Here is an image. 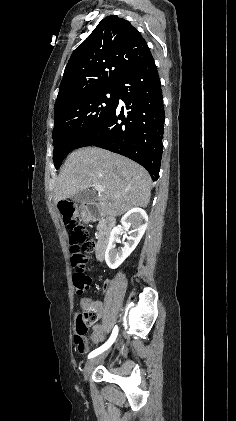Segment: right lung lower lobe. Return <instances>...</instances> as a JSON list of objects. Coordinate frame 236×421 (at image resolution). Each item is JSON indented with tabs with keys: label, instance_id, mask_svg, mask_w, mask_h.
Instances as JSON below:
<instances>
[{
	"label": "right lung lower lobe",
	"instance_id": "98d812e1",
	"mask_svg": "<svg viewBox=\"0 0 236 421\" xmlns=\"http://www.w3.org/2000/svg\"><path fill=\"white\" fill-rule=\"evenodd\" d=\"M115 88L116 106L75 149L94 145L121 154L142 165L156 181L163 151L165 116L153 57L129 70L116 82ZM119 99L125 108L119 106Z\"/></svg>",
	"mask_w": 236,
	"mask_h": 421
}]
</instances>
